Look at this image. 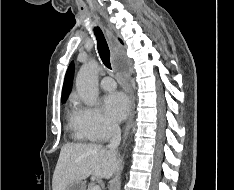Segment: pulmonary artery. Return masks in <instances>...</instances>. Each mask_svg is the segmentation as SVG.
<instances>
[{"label":"pulmonary artery","mask_w":234,"mask_h":190,"mask_svg":"<svg viewBox=\"0 0 234 190\" xmlns=\"http://www.w3.org/2000/svg\"><path fill=\"white\" fill-rule=\"evenodd\" d=\"M100 86L105 91H112L116 88V82L111 76H105L102 78Z\"/></svg>","instance_id":"e3ab8cb5"}]
</instances>
